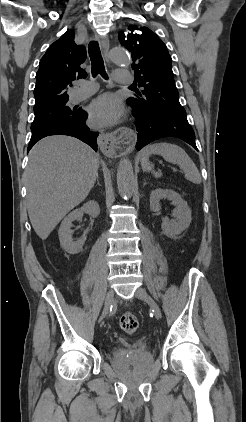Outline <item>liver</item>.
Instances as JSON below:
<instances>
[{
	"label": "liver",
	"mask_w": 246,
	"mask_h": 422,
	"mask_svg": "<svg viewBox=\"0 0 246 422\" xmlns=\"http://www.w3.org/2000/svg\"><path fill=\"white\" fill-rule=\"evenodd\" d=\"M99 156L74 137L40 140L25 170L26 204L36 234L45 240L89 194L98 177Z\"/></svg>",
	"instance_id": "obj_1"
}]
</instances>
